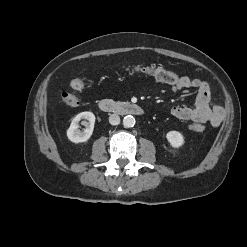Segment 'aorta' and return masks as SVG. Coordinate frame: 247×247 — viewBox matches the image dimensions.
Segmentation results:
<instances>
[{"mask_svg":"<svg viewBox=\"0 0 247 247\" xmlns=\"http://www.w3.org/2000/svg\"><path fill=\"white\" fill-rule=\"evenodd\" d=\"M123 125L126 128H131L135 125V118L131 115H127L123 119Z\"/></svg>","mask_w":247,"mask_h":247,"instance_id":"1","label":"aorta"}]
</instances>
